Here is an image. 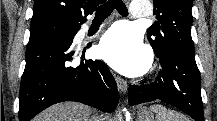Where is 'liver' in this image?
<instances>
[{
    "instance_id": "1",
    "label": "liver",
    "mask_w": 217,
    "mask_h": 121,
    "mask_svg": "<svg viewBox=\"0 0 217 121\" xmlns=\"http://www.w3.org/2000/svg\"><path fill=\"white\" fill-rule=\"evenodd\" d=\"M90 107L76 102H65L52 105L33 121H91Z\"/></svg>"
}]
</instances>
